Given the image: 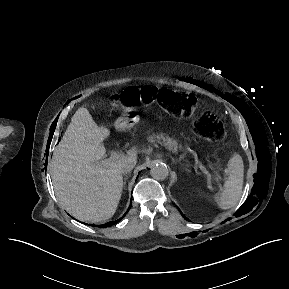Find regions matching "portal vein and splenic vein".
Segmentation results:
<instances>
[{"instance_id": "1", "label": "portal vein and splenic vein", "mask_w": 289, "mask_h": 289, "mask_svg": "<svg viewBox=\"0 0 289 289\" xmlns=\"http://www.w3.org/2000/svg\"><path fill=\"white\" fill-rule=\"evenodd\" d=\"M124 155L122 153L119 152H113L110 156V158L106 159L104 161V163H108V162H114L116 160H119L120 158H122ZM196 164L199 166L200 170L203 172V174L207 177L208 181L210 182L211 180H215L218 181L216 178H214V176L204 167V165L202 163H200L198 161V159H195ZM210 187V186H209Z\"/></svg>"}]
</instances>
